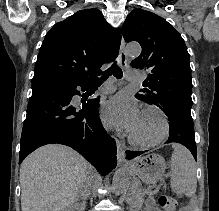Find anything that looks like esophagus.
<instances>
[{
  "label": "esophagus",
  "instance_id": "1",
  "mask_svg": "<svg viewBox=\"0 0 219 211\" xmlns=\"http://www.w3.org/2000/svg\"><path fill=\"white\" fill-rule=\"evenodd\" d=\"M118 60L123 68L127 65V54L125 52V41L123 36L121 37ZM117 161L119 164H127L125 160V150L120 143H117Z\"/></svg>",
  "mask_w": 219,
  "mask_h": 211
}]
</instances>
